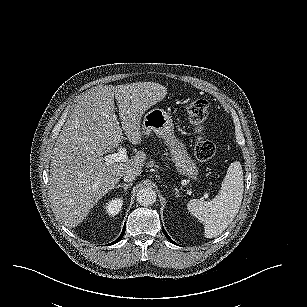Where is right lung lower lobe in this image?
Returning <instances> with one entry per match:
<instances>
[{
  "label": "right lung lower lobe",
  "mask_w": 307,
  "mask_h": 307,
  "mask_svg": "<svg viewBox=\"0 0 307 307\" xmlns=\"http://www.w3.org/2000/svg\"><path fill=\"white\" fill-rule=\"evenodd\" d=\"M125 229H126V227L124 226L123 231H122L120 237L117 240H115L114 242H112L111 244H109V245L115 244L118 241H120L122 239L123 235H124Z\"/></svg>",
  "instance_id": "1"
}]
</instances>
